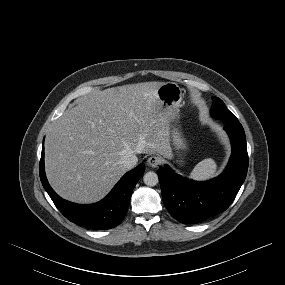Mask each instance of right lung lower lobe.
<instances>
[{
    "mask_svg": "<svg viewBox=\"0 0 285 285\" xmlns=\"http://www.w3.org/2000/svg\"><path fill=\"white\" fill-rule=\"evenodd\" d=\"M145 171L140 164L127 172L101 201L91 205H78L59 197L50 187L44 171V146L39 166L40 179L58 210L71 222L90 229H110L121 223L126 215L130 197L138 180Z\"/></svg>",
    "mask_w": 285,
    "mask_h": 285,
    "instance_id": "right-lung-lower-lobe-1",
    "label": "right lung lower lobe"
}]
</instances>
